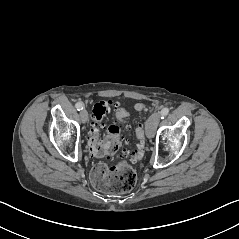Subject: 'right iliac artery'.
Returning <instances> with one entry per match:
<instances>
[{
  "mask_svg": "<svg viewBox=\"0 0 239 239\" xmlns=\"http://www.w3.org/2000/svg\"><path fill=\"white\" fill-rule=\"evenodd\" d=\"M75 107H76V109L77 110H83V108H84V106H83V104L81 103V102H77L76 104H75Z\"/></svg>",
  "mask_w": 239,
  "mask_h": 239,
  "instance_id": "right-iliac-artery-1",
  "label": "right iliac artery"
}]
</instances>
